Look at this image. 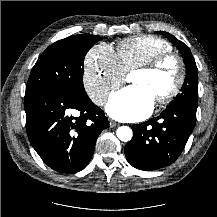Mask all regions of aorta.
<instances>
[{
  "label": "aorta",
  "instance_id": "762f6f07",
  "mask_svg": "<svg viewBox=\"0 0 217 217\" xmlns=\"http://www.w3.org/2000/svg\"><path fill=\"white\" fill-rule=\"evenodd\" d=\"M116 135L121 141L128 142L132 139L133 132L130 127L121 126L117 129Z\"/></svg>",
  "mask_w": 217,
  "mask_h": 217
}]
</instances>
